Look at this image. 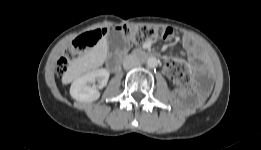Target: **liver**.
Masks as SVG:
<instances>
[{"mask_svg": "<svg viewBox=\"0 0 261 150\" xmlns=\"http://www.w3.org/2000/svg\"><path fill=\"white\" fill-rule=\"evenodd\" d=\"M108 51L107 39L102 38L91 50L73 62V67L79 73L94 70L103 65Z\"/></svg>", "mask_w": 261, "mask_h": 150, "instance_id": "1", "label": "liver"}]
</instances>
